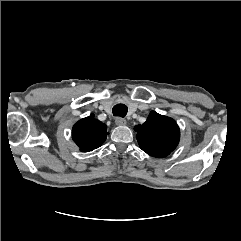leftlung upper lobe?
I'll list each match as a JSON object with an SVG mask.
<instances>
[{"label": "left lung upper lobe", "mask_w": 241, "mask_h": 241, "mask_svg": "<svg viewBox=\"0 0 241 241\" xmlns=\"http://www.w3.org/2000/svg\"><path fill=\"white\" fill-rule=\"evenodd\" d=\"M140 148L147 154L163 158L169 155L178 145L180 131L172 118L150 112L142 125L135 127Z\"/></svg>", "instance_id": "5c2ea615"}]
</instances>
